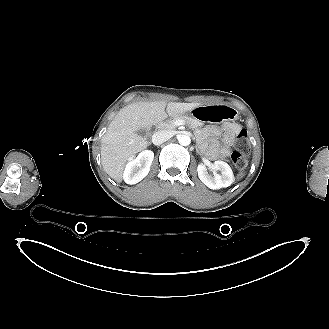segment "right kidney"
Returning <instances> with one entry per match:
<instances>
[{"instance_id": "right-kidney-1", "label": "right kidney", "mask_w": 329, "mask_h": 329, "mask_svg": "<svg viewBox=\"0 0 329 329\" xmlns=\"http://www.w3.org/2000/svg\"><path fill=\"white\" fill-rule=\"evenodd\" d=\"M154 159V153L151 150H144L133 159L130 158L123 171V179L127 184H136L145 178L150 170Z\"/></svg>"}]
</instances>
